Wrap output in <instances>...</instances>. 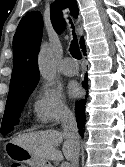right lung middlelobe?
Instances as JSON below:
<instances>
[{
    "label": "right lung middle lobe",
    "mask_w": 125,
    "mask_h": 167,
    "mask_svg": "<svg viewBox=\"0 0 125 167\" xmlns=\"http://www.w3.org/2000/svg\"><path fill=\"white\" fill-rule=\"evenodd\" d=\"M33 90L7 98L3 121L1 124V133L3 135L12 131L14 126L19 123L20 113Z\"/></svg>",
    "instance_id": "right-lung-middle-lobe-1"
}]
</instances>
